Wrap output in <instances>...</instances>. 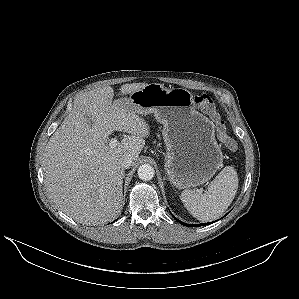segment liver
<instances>
[{
	"label": "liver",
	"mask_w": 299,
	"mask_h": 299,
	"mask_svg": "<svg viewBox=\"0 0 299 299\" xmlns=\"http://www.w3.org/2000/svg\"><path fill=\"white\" fill-rule=\"evenodd\" d=\"M147 84L120 87L131 94ZM111 86L78 94L71 112L50 137L43 154L45 186L52 201L75 221L98 225L113 221L123 207L124 170L119 160L129 155L135 162L145 145L149 127L135 108L121 99L113 101ZM86 117H90L89 124ZM125 136L115 148L107 140L115 131Z\"/></svg>",
	"instance_id": "1"
}]
</instances>
